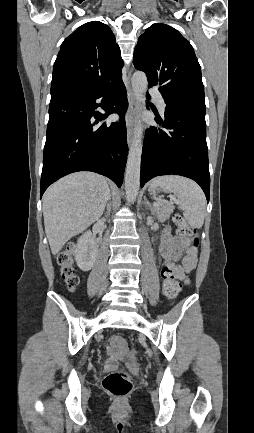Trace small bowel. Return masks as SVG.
<instances>
[{
	"label": "small bowel",
	"mask_w": 254,
	"mask_h": 433,
	"mask_svg": "<svg viewBox=\"0 0 254 433\" xmlns=\"http://www.w3.org/2000/svg\"><path fill=\"white\" fill-rule=\"evenodd\" d=\"M161 255L164 258V268L169 267L173 270L175 277L185 285L189 284L188 274L195 268L197 262V251L190 248L188 255L184 258L182 266L176 265L174 260L179 258L181 245L179 240L173 236L168 228L162 233V245L160 248ZM165 285L163 283V292ZM108 363H114V359H110Z\"/></svg>",
	"instance_id": "1"
}]
</instances>
